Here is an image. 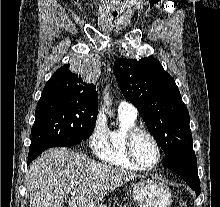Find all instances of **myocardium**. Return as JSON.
I'll return each instance as SVG.
<instances>
[{
  "instance_id": "1",
  "label": "myocardium",
  "mask_w": 220,
  "mask_h": 207,
  "mask_svg": "<svg viewBox=\"0 0 220 207\" xmlns=\"http://www.w3.org/2000/svg\"><path fill=\"white\" fill-rule=\"evenodd\" d=\"M140 134H145L146 136H148L156 147L157 155H158L157 161L152 165H148V166L143 165L138 160V158L135 154L134 143H135L136 137ZM125 150H126V154H127V157L129 158V160L141 170H147V171L152 170V169L156 168L161 163V160H162V148H161V145H160L158 139L151 131H149L148 129L143 128V127L136 126L132 129H130L126 133Z\"/></svg>"
}]
</instances>
